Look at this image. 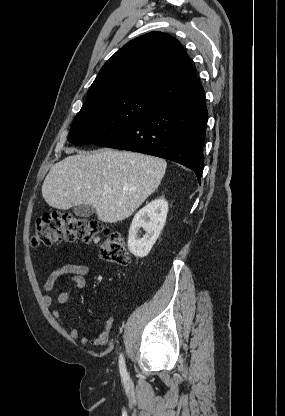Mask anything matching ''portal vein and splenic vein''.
<instances>
[{"label":"portal vein and splenic vein","instance_id":"obj_1","mask_svg":"<svg viewBox=\"0 0 285 416\" xmlns=\"http://www.w3.org/2000/svg\"><path fill=\"white\" fill-rule=\"evenodd\" d=\"M108 194H112L111 190H108Z\"/></svg>","mask_w":285,"mask_h":416}]
</instances>
